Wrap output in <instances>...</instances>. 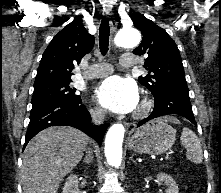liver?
Wrapping results in <instances>:
<instances>
[{
	"label": "liver",
	"mask_w": 221,
	"mask_h": 193,
	"mask_svg": "<svg viewBox=\"0 0 221 193\" xmlns=\"http://www.w3.org/2000/svg\"><path fill=\"white\" fill-rule=\"evenodd\" d=\"M166 120L177 122L173 117ZM89 141L83 132L67 126L39 132L24 150L23 193H57L63 178L80 162Z\"/></svg>",
	"instance_id": "liver-1"
}]
</instances>
